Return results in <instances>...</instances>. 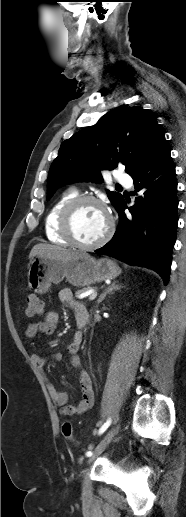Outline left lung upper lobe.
<instances>
[{
	"label": "left lung upper lobe",
	"mask_w": 186,
	"mask_h": 517,
	"mask_svg": "<svg viewBox=\"0 0 186 517\" xmlns=\"http://www.w3.org/2000/svg\"><path fill=\"white\" fill-rule=\"evenodd\" d=\"M164 138L154 115L141 107H119L93 125L65 140L54 159L48 176L47 200L56 190L78 181H101V170L125 165L131 175ZM115 208L124 200L107 190Z\"/></svg>",
	"instance_id": "obj_1"
}]
</instances>
